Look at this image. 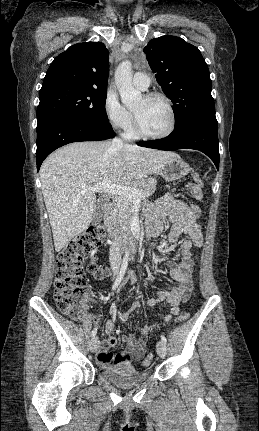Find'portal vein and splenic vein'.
Here are the masks:
<instances>
[{
	"mask_svg": "<svg viewBox=\"0 0 259 431\" xmlns=\"http://www.w3.org/2000/svg\"><path fill=\"white\" fill-rule=\"evenodd\" d=\"M105 192L111 195H119L122 197H128L132 200L139 201L143 196V193L135 188L112 184L110 181H103L101 183H96L91 186L83 188V192Z\"/></svg>",
	"mask_w": 259,
	"mask_h": 431,
	"instance_id": "18ae733b",
	"label": "portal vein and splenic vein"
}]
</instances>
